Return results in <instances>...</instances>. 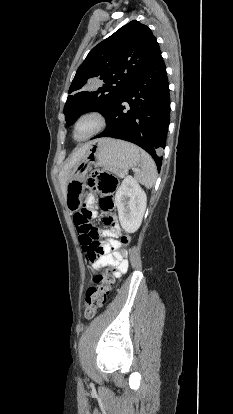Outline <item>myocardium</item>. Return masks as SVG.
<instances>
[{
	"instance_id": "myocardium-1",
	"label": "myocardium",
	"mask_w": 233,
	"mask_h": 414,
	"mask_svg": "<svg viewBox=\"0 0 233 414\" xmlns=\"http://www.w3.org/2000/svg\"><path fill=\"white\" fill-rule=\"evenodd\" d=\"M91 122L92 127L82 136L77 135V131L84 122ZM108 126V117L106 114L97 109L86 110L82 112L74 121L72 126V138L77 142L87 141L94 136L102 133Z\"/></svg>"
}]
</instances>
